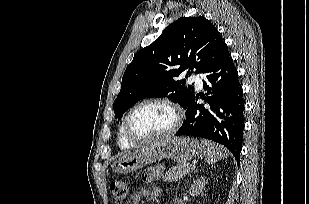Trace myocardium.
I'll list each match as a JSON object with an SVG mask.
<instances>
[{"label": "myocardium", "mask_w": 309, "mask_h": 204, "mask_svg": "<svg viewBox=\"0 0 309 204\" xmlns=\"http://www.w3.org/2000/svg\"><path fill=\"white\" fill-rule=\"evenodd\" d=\"M148 104H162L167 107H169L174 114V121L172 125L163 133L155 135V136H148V137H142L134 134L130 128V121L133 116V114L142 106L148 105ZM183 120V112L182 109L173 101L166 99V98H149L145 99L139 103H137L135 106H133L130 111L127 113L124 124H123V131L125 137L134 144H144V143H150L159 141L163 138H166L168 136L173 135L176 133V131L179 129V127L182 124Z\"/></svg>", "instance_id": "f54148a6"}]
</instances>
